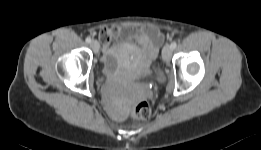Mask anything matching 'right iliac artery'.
<instances>
[{
  "mask_svg": "<svg viewBox=\"0 0 261 150\" xmlns=\"http://www.w3.org/2000/svg\"><path fill=\"white\" fill-rule=\"evenodd\" d=\"M86 42H87V43H91V38H90V37H87V38H86Z\"/></svg>",
  "mask_w": 261,
  "mask_h": 150,
  "instance_id": "right-iliac-artery-1",
  "label": "right iliac artery"
}]
</instances>
